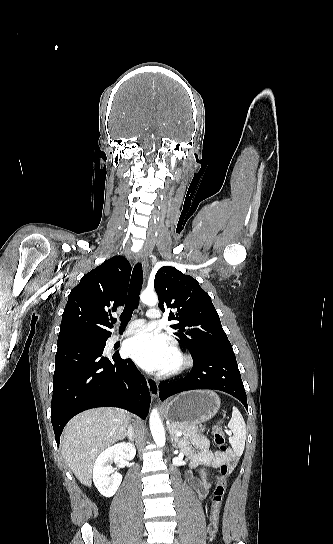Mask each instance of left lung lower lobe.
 I'll list each match as a JSON object with an SVG mask.
<instances>
[{
    "instance_id": "1",
    "label": "left lung lower lobe",
    "mask_w": 333,
    "mask_h": 544,
    "mask_svg": "<svg viewBox=\"0 0 333 544\" xmlns=\"http://www.w3.org/2000/svg\"><path fill=\"white\" fill-rule=\"evenodd\" d=\"M193 358V368L184 378L174 382H161L160 399L194 389L224 391L239 399L248 410L246 393L234 352L211 350Z\"/></svg>"
}]
</instances>
